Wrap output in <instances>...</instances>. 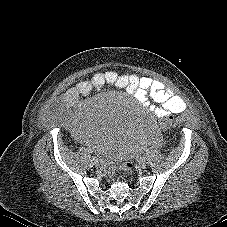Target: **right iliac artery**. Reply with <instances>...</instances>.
<instances>
[{"mask_svg":"<svg viewBox=\"0 0 227 227\" xmlns=\"http://www.w3.org/2000/svg\"><path fill=\"white\" fill-rule=\"evenodd\" d=\"M88 152H89V153H92L93 150L89 148V149H88ZM95 159H97V157L93 156V160H95Z\"/></svg>","mask_w":227,"mask_h":227,"instance_id":"82829eb1","label":"right iliac artery"}]
</instances>
